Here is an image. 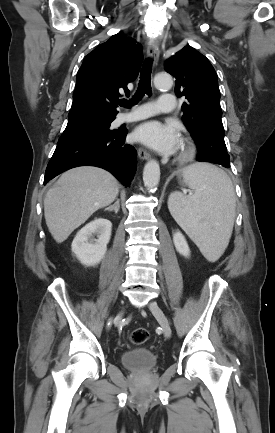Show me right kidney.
I'll return each mask as SVG.
<instances>
[{"instance_id": "ca27d5eb", "label": "right kidney", "mask_w": 275, "mask_h": 433, "mask_svg": "<svg viewBox=\"0 0 275 433\" xmlns=\"http://www.w3.org/2000/svg\"><path fill=\"white\" fill-rule=\"evenodd\" d=\"M111 230L112 223L108 219L96 218L78 231L71 247L83 265L95 266L101 262L107 251Z\"/></svg>"}]
</instances>
